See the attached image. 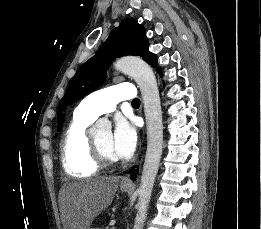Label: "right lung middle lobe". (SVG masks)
Masks as SVG:
<instances>
[{"label":"right lung middle lobe","mask_w":261,"mask_h":229,"mask_svg":"<svg viewBox=\"0 0 261 229\" xmlns=\"http://www.w3.org/2000/svg\"><path fill=\"white\" fill-rule=\"evenodd\" d=\"M61 127H62V125L58 126V131H60V130H61Z\"/></svg>","instance_id":"1"}]
</instances>
